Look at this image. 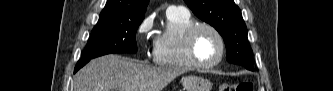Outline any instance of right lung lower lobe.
Listing matches in <instances>:
<instances>
[{
	"label": "right lung lower lobe",
	"instance_id": "1",
	"mask_svg": "<svg viewBox=\"0 0 333 91\" xmlns=\"http://www.w3.org/2000/svg\"><path fill=\"white\" fill-rule=\"evenodd\" d=\"M89 61H90V59H86V60L81 59V60H79L78 63H77V65H76V67H75L74 72H76L77 70H79L80 68H82Z\"/></svg>",
	"mask_w": 333,
	"mask_h": 91
}]
</instances>
